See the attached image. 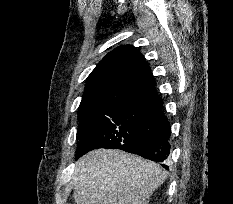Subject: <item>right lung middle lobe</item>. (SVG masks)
<instances>
[{
    "label": "right lung middle lobe",
    "instance_id": "dd1d6c3e",
    "mask_svg": "<svg viewBox=\"0 0 233 204\" xmlns=\"http://www.w3.org/2000/svg\"><path fill=\"white\" fill-rule=\"evenodd\" d=\"M79 120L78 147L118 148L159 133L168 125L150 100L112 104Z\"/></svg>",
    "mask_w": 233,
    "mask_h": 204
}]
</instances>
